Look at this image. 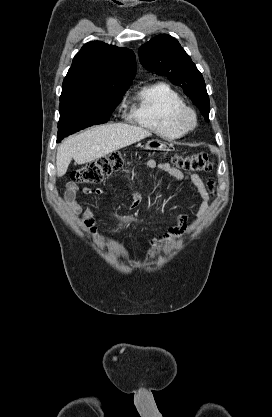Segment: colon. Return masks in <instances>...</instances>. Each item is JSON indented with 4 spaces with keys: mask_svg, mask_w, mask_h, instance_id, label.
<instances>
[{
    "mask_svg": "<svg viewBox=\"0 0 272 417\" xmlns=\"http://www.w3.org/2000/svg\"><path fill=\"white\" fill-rule=\"evenodd\" d=\"M175 164L189 172H209L213 169V162L207 154L176 155ZM123 157L120 153H113L87 163L71 173L74 183L93 184L102 181L112 172L120 169Z\"/></svg>",
    "mask_w": 272,
    "mask_h": 417,
    "instance_id": "5ec220e1",
    "label": "colon"
}]
</instances>
